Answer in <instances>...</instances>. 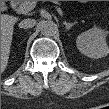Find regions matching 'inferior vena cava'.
I'll list each match as a JSON object with an SVG mask.
<instances>
[{"label": "inferior vena cava", "instance_id": "inferior-vena-cava-1", "mask_svg": "<svg viewBox=\"0 0 109 109\" xmlns=\"http://www.w3.org/2000/svg\"><path fill=\"white\" fill-rule=\"evenodd\" d=\"M36 24V20L34 19H24L19 23L20 28L28 29L34 27Z\"/></svg>", "mask_w": 109, "mask_h": 109}]
</instances>
